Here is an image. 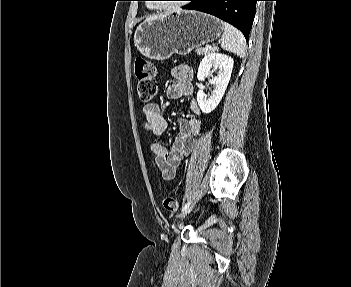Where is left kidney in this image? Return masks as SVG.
<instances>
[{"label": "left kidney", "mask_w": 351, "mask_h": 287, "mask_svg": "<svg viewBox=\"0 0 351 287\" xmlns=\"http://www.w3.org/2000/svg\"><path fill=\"white\" fill-rule=\"evenodd\" d=\"M234 61L225 54L212 52L202 59L200 62L197 78L203 81L207 76L211 75V69H219L217 76L210 79V83L214 86V90L210 96H207L203 90L197 93V102L203 113H210L220 103L225 90L228 86Z\"/></svg>", "instance_id": "left-kidney-1"}]
</instances>
